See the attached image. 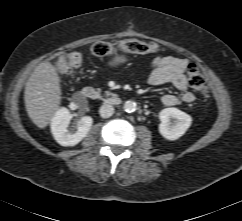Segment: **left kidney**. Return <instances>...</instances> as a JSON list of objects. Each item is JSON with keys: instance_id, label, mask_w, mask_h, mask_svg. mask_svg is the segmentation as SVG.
Here are the masks:
<instances>
[{"instance_id": "1", "label": "left kidney", "mask_w": 242, "mask_h": 221, "mask_svg": "<svg viewBox=\"0 0 242 221\" xmlns=\"http://www.w3.org/2000/svg\"><path fill=\"white\" fill-rule=\"evenodd\" d=\"M159 124L160 134L167 140L174 141L179 139L191 126L192 118L187 113L177 108H165L160 111ZM173 119V123L171 122Z\"/></svg>"}]
</instances>
